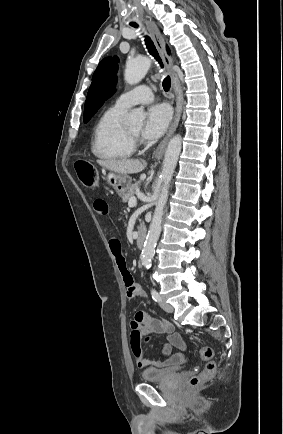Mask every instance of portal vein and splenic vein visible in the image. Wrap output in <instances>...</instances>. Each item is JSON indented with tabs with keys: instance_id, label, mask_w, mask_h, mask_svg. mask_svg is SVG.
Masks as SVG:
<instances>
[{
	"instance_id": "obj_1",
	"label": "portal vein and splenic vein",
	"mask_w": 283,
	"mask_h": 434,
	"mask_svg": "<svg viewBox=\"0 0 283 434\" xmlns=\"http://www.w3.org/2000/svg\"><path fill=\"white\" fill-rule=\"evenodd\" d=\"M136 204H137V199L135 197H132L129 199V201H128L129 207H134Z\"/></svg>"
}]
</instances>
